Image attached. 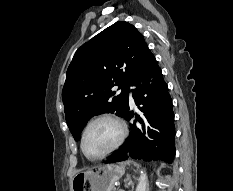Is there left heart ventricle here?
Listing matches in <instances>:
<instances>
[{"instance_id": "b2bd125f", "label": "left heart ventricle", "mask_w": 233, "mask_h": 191, "mask_svg": "<svg viewBox=\"0 0 233 191\" xmlns=\"http://www.w3.org/2000/svg\"><path fill=\"white\" fill-rule=\"evenodd\" d=\"M118 128L110 121L101 120L92 124L85 136V150L89 155L98 156L106 152L116 141Z\"/></svg>"}]
</instances>
